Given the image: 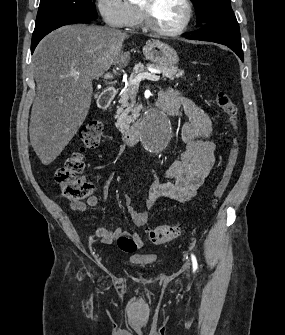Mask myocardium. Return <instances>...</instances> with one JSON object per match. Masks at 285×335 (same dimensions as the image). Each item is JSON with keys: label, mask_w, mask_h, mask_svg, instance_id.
Listing matches in <instances>:
<instances>
[{"label": "myocardium", "mask_w": 285, "mask_h": 335, "mask_svg": "<svg viewBox=\"0 0 285 335\" xmlns=\"http://www.w3.org/2000/svg\"><path fill=\"white\" fill-rule=\"evenodd\" d=\"M140 2V13H141V22L143 27L155 35L174 37L182 34L189 27L192 17L193 9L189 1H179L186 9V18L184 22L176 29L167 30L157 26L152 18L153 5L152 1H139Z\"/></svg>", "instance_id": "obj_1"}]
</instances>
